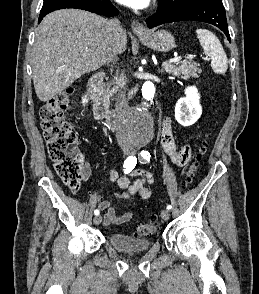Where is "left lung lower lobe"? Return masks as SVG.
Returning <instances> with one entry per match:
<instances>
[{
    "mask_svg": "<svg viewBox=\"0 0 259 294\" xmlns=\"http://www.w3.org/2000/svg\"><path fill=\"white\" fill-rule=\"evenodd\" d=\"M185 20L213 24L221 29L231 41L222 0H192L169 10H157L155 14L146 19V23L148 28H153L161 24Z\"/></svg>",
    "mask_w": 259,
    "mask_h": 294,
    "instance_id": "obj_1",
    "label": "left lung lower lobe"
}]
</instances>
